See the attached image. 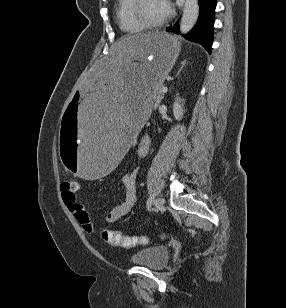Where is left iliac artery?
<instances>
[{
	"label": "left iliac artery",
	"mask_w": 286,
	"mask_h": 308,
	"mask_svg": "<svg viewBox=\"0 0 286 308\" xmlns=\"http://www.w3.org/2000/svg\"><path fill=\"white\" fill-rule=\"evenodd\" d=\"M152 201H153V195H151V196L149 197V199L147 200L146 206H147L148 209L151 208Z\"/></svg>",
	"instance_id": "left-iliac-artery-1"
}]
</instances>
